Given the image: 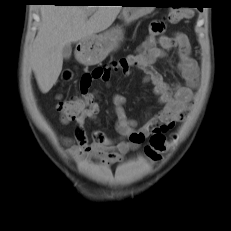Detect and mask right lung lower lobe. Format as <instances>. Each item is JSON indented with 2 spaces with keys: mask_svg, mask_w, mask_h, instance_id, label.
Masks as SVG:
<instances>
[{
  "mask_svg": "<svg viewBox=\"0 0 231 231\" xmlns=\"http://www.w3.org/2000/svg\"><path fill=\"white\" fill-rule=\"evenodd\" d=\"M38 2L48 3L52 2L56 5H77V2L75 0H38Z\"/></svg>",
  "mask_w": 231,
  "mask_h": 231,
  "instance_id": "right-lung-lower-lobe-1",
  "label": "right lung lower lobe"
}]
</instances>
